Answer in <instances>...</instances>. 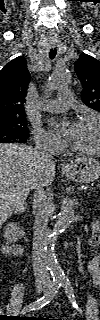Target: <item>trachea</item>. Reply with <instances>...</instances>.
<instances>
[{
  "label": "trachea",
  "instance_id": "1",
  "mask_svg": "<svg viewBox=\"0 0 100 320\" xmlns=\"http://www.w3.org/2000/svg\"><path fill=\"white\" fill-rule=\"evenodd\" d=\"M56 53H57V51H56L55 48H54V49H51L50 52H49V57H50V59H54L55 56H56Z\"/></svg>",
  "mask_w": 100,
  "mask_h": 320
}]
</instances>
